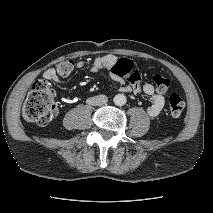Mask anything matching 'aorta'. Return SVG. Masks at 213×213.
I'll list each match as a JSON object with an SVG mask.
<instances>
[{
    "mask_svg": "<svg viewBox=\"0 0 213 213\" xmlns=\"http://www.w3.org/2000/svg\"><path fill=\"white\" fill-rule=\"evenodd\" d=\"M127 98L124 94H117L114 97V103L117 106H123L126 104Z\"/></svg>",
    "mask_w": 213,
    "mask_h": 213,
    "instance_id": "762f6f07",
    "label": "aorta"
}]
</instances>
